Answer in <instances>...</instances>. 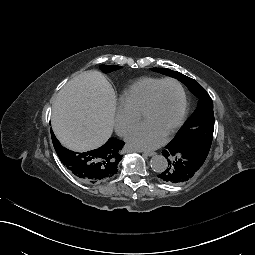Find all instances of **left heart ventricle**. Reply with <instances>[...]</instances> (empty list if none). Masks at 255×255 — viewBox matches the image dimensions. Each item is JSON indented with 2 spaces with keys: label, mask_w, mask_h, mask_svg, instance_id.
I'll return each mask as SVG.
<instances>
[{
  "label": "left heart ventricle",
  "mask_w": 255,
  "mask_h": 255,
  "mask_svg": "<svg viewBox=\"0 0 255 255\" xmlns=\"http://www.w3.org/2000/svg\"><path fill=\"white\" fill-rule=\"evenodd\" d=\"M181 105L182 97L178 86L165 83L158 89L153 106L142 117V123L165 138L179 118Z\"/></svg>",
  "instance_id": "obj_1"
}]
</instances>
